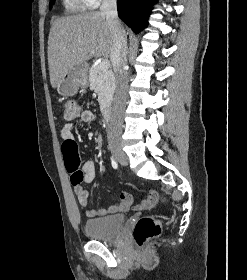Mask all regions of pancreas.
<instances>
[{
  "mask_svg": "<svg viewBox=\"0 0 247 280\" xmlns=\"http://www.w3.org/2000/svg\"><path fill=\"white\" fill-rule=\"evenodd\" d=\"M90 87L98 94L100 109L110 105L115 88V79L110 69L101 70L99 65L92 66L89 71Z\"/></svg>",
  "mask_w": 247,
  "mask_h": 280,
  "instance_id": "obj_1",
  "label": "pancreas"
}]
</instances>
